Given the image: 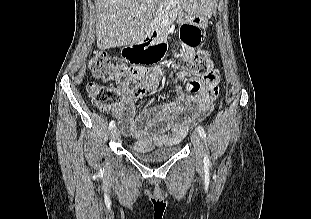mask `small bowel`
<instances>
[{
    "instance_id": "c3829d8e",
    "label": "small bowel",
    "mask_w": 311,
    "mask_h": 219,
    "mask_svg": "<svg viewBox=\"0 0 311 219\" xmlns=\"http://www.w3.org/2000/svg\"><path fill=\"white\" fill-rule=\"evenodd\" d=\"M196 46L182 41L183 59H191ZM165 75L158 65L131 68L132 79L148 91H155L163 85ZM184 76V73H178L174 78L176 98L172 101L145 108L135 116L134 100L128 91L122 90L121 102L107 110L118 118L125 135L137 141L162 146L179 142L188 128L211 110L219 93L220 82L219 71L212 70L204 76V89L200 93L183 92L179 81Z\"/></svg>"
}]
</instances>
